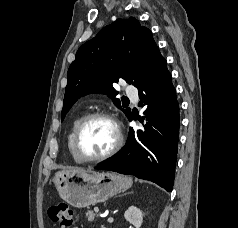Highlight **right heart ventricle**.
I'll return each instance as SVG.
<instances>
[{
	"label": "right heart ventricle",
	"mask_w": 238,
	"mask_h": 228,
	"mask_svg": "<svg viewBox=\"0 0 238 228\" xmlns=\"http://www.w3.org/2000/svg\"><path fill=\"white\" fill-rule=\"evenodd\" d=\"M83 117L82 116H77L73 119V121L71 122L69 131H68V135H67V148L68 151L72 157V159L76 162V163H82L74 154L73 151V138H74V133L75 130L79 124V122L81 121Z\"/></svg>",
	"instance_id": "right-heart-ventricle-1"
}]
</instances>
